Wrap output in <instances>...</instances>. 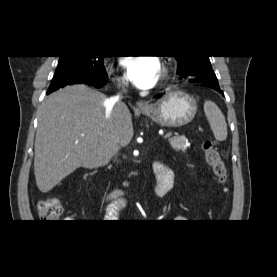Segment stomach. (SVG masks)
Wrapping results in <instances>:
<instances>
[{"label": "stomach", "mask_w": 277, "mask_h": 277, "mask_svg": "<svg viewBox=\"0 0 277 277\" xmlns=\"http://www.w3.org/2000/svg\"><path fill=\"white\" fill-rule=\"evenodd\" d=\"M197 112L196 100L182 91H169L156 103L142 109V113L163 127H181L193 120Z\"/></svg>", "instance_id": "obj_1"}]
</instances>
